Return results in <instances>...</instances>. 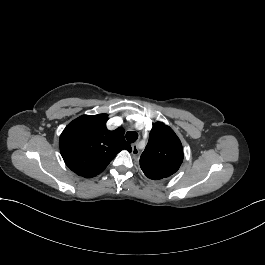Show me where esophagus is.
Masks as SVG:
<instances>
[{
  "mask_svg": "<svg viewBox=\"0 0 265 265\" xmlns=\"http://www.w3.org/2000/svg\"><path fill=\"white\" fill-rule=\"evenodd\" d=\"M139 154L138 142L132 144V155L137 156Z\"/></svg>",
  "mask_w": 265,
  "mask_h": 265,
  "instance_id": "34e87169",
  "label": "esophagus"
}]
</instances>
